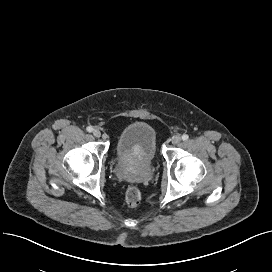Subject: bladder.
Instances as JSON below:
<instances>
[{"instance_id":"1","label":"bladder","mask_w":272,"mask_h":272,"mask_svg":"<svg viewBox=\"0 0 272 272\" xmlns=\"http://www.w3.org/2000/svg\"><path fill=\"white\" fill-rule=\"evenodd\" d=\"M157 132L147 122L136 121L126 126L116 141L121 161L151 162L157 152Z\"/></svg>"}]
</instances>
